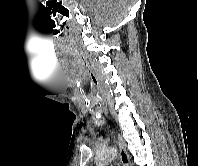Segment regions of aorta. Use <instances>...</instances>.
Returning <instances> with one entry per match:
<instances>
[{"instance_id":"aorta-1","label":"aorta","mask_w":198,"mask_h":166,"mask_svg":"<svg viewBox=\"0 0 198 166\" xmlns=\"http://www.w3.org/2000/svg\"><path fill=\"white\" fill-rule=\"evenodd\" d=\"M117 156V150L114 147H108L100 150L95 157L96 166H106Z\"/></svg>"}]
</instances>
